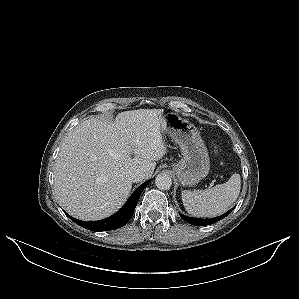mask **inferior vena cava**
Here are the masks:
<instances>
[{"instance_id": "1", "label": "inferior vena cava", "mask_w": 299, "mask_h": 299, "mask_svg": "<svg viewBox=\"0 0 299 299\" xmlns=\"http://www.w3.org/2000/svg\"><path fill=\"white\" fill-rule=\"evenodd\" d=\"M144 176V170L142 169H136L129 175L132 182H141L144 179Z\"/></svg>"}]
</instances>
